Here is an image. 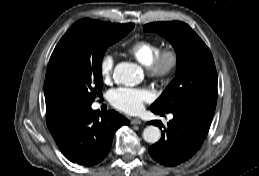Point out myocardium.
<instances>
[{
	"label": "myocardium",
	"instance_id": "obj_1",
	"mask_svg": "<svg viewBox=\"0 0 259 176\" xmlns=\"http://www.w3.org/2000/svg\"><path fill=\"white\" fill-rule=\"evenodd\" d=\"M179 62L180 58L177 49L166 47L161 49L153 61L145 67L150 77L166 81L176 73Z\"/></svg>",
	"mask_w": 259,
	"mask_h": 176
}]
</instances>
